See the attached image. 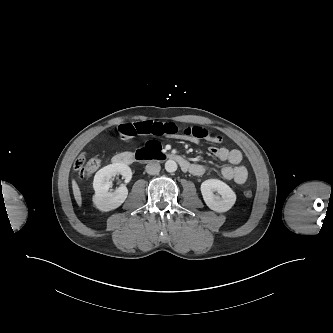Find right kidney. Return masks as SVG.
I'll use <instances>...</instances> for the list:
<instances>
[{"label":"right kidney","instance_id":"right-kidney-1","mask_svg":"<svg viewBox=\"0 0 333 333\" xmlns=\"http://www.w3.org/2000/svg\"><path fill=\"white\" fill-rule=\"evenodd\" d=\"M121 174L127 182L132 177V171L129 166L123 163H113L100 169L94 177L93 188V203L97 209L103 212L111 211L118 208L126 200L128 189L126 186H121L114 192L109 191L112 182L111 177Z\"/></svg>","mask_w":333,"mask_h":333}]
</instances>
